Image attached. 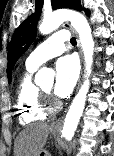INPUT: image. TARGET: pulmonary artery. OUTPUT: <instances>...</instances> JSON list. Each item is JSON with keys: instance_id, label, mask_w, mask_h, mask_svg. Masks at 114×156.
Returning a JSON list of instances; mask_svg holds the SVG:
<instances>
[{"instance_id": "pulmonary-artery-1", "label": "pulmonary artery", "mask_w": 114, "mask_h": 156, "mask_svg": "<svg viewBox=\"0 0 114 156\" xmlns=\"http://www.w3.org/2000/svg\"><path fill=\"white\" fill-rule=\"evenodd\" d=\"M68 39L69 33L66 30L58 31L37 46L28 56L26 63L39 67L49 59L61 55L65 51V42Z\"/></svg>"}]
</instances>
